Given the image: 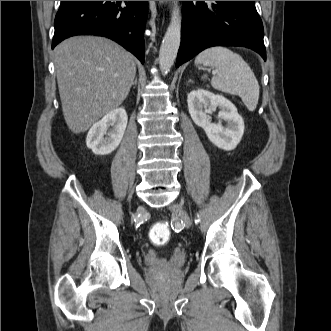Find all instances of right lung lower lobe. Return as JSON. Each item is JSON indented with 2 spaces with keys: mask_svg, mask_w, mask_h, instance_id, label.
<instances>
[{
  "mask_svg": "<svg viewBox=\"0 0 331 331\" xmlns=\"http://www.w3.org/2000/svg\"><path fill=\"white\" fill-rule=\"evenodd\" d=\"M147 1H61L52 49L75 35L108 37L144 63Z\"/></svg>",
  "mask_w": 331,
  "mask_h": 331,
  "instance_id": "right-lung-lower-lobe-1",
  "label": "right lung lower lobe"
}]
</instances>
